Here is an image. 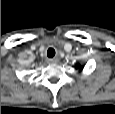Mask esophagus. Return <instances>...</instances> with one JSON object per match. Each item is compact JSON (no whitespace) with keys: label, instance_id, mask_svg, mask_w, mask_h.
Returning <instances> with one entry per match:
<instances>
[{"label":"esophagus","instance_id":"1","mask_svg":"<svg viewBox=\"0 0 115 114\" xmlns=\"http://www.w3.org/2000/svg\"><path fill=\"white\" fill-rule=\"evenodd\" d=\"M57 61H58L57 58L48 59L49 63H56Z\"/></svg>","mask_w":115,"mask_h":114}]
</instances>
